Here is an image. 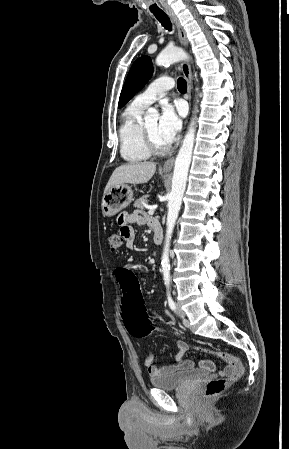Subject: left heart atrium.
<instances>
[{
  "instance_id": "39dd6f15",
  "label": "left heart atrium",
  "mask_w": 289,
  "mask_h": 449,
  "mask_svg": "<svg viewBox=\"0 0 289 449\" xmlns=\"http://www.w3.org/2000/svg\"><path fill=\"white\" fill-rule=\"evenodd\" d=\"M182 109L175 108L170 103L162 105L161 116L158 121V132L162 140L171 144L177 137L182 126Z\"/></svg>"
}]
</instances>
